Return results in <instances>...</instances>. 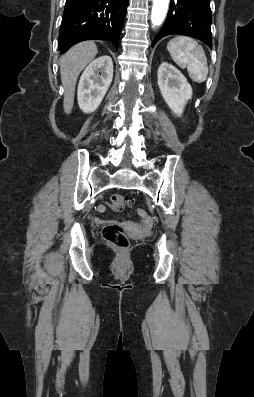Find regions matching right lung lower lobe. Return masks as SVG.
Returning <instances> with one entry per match:
<instances>
[{"instance_id":"obj_1","label":"right lung lower lobe","mask_w":254,"mask_h":397,"mask_svg":"<svg viewBox=\"0 0 254 397\" xmlns=\"http://www.w3.org/2000/svg\"><path fill=\"white\" fill-rule=\"evenodd\" d=\"M129 0H66L58 37L60 54L74 44L99 39L118 47Z\"/></svg>"}]
</instances>
